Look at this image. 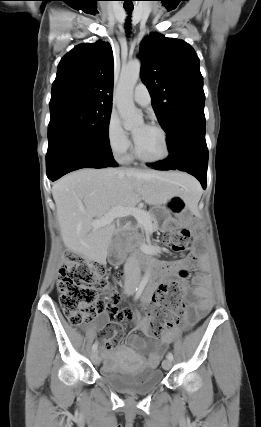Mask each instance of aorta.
I'll list each match as a JSON object with an SVG mask.
<instances>
[{"label": "aorta", "mask_w": 261, "mask_h": 427, "mask_svg": "<svg viewBox=\"0 0 261 427\" xmlns=\"http://www.w3.org/2000/svg\"><path fill=\"white\" fill-rule=\"evenodd\" d=\"M141 62L135 59L122 68L119 83L116 90L117 108L123 126L127 130H132L143 124L142 114L139 113L133 101V90L139 79ZM150 271H146L144 279L149 280Z\"/></svg>", "instance_id": "762f6f07"}]
</instances>
